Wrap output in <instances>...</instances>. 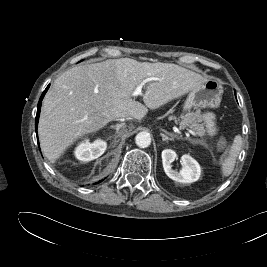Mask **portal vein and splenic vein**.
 I'll use <instances>...</instances> for the list:
<instances>
[{
	"instance_id": "1",
	"label": "portal vein and splenic vein",
	"mask_w": 267,
	"mask_h": 267,
	"mask_svg": "<svg viewBox=\"0 0 267 267\" xmlns=\"http://www.w3.org/2000/svg\"><path fill=\"white\" fill-rule=\"evenodd\" d=\"M153 80V78H147L145 80H143L136 88L135 90L132 92L131 96H137V95H142V87L149 81ZM188 132L192 135H196V133L190 129H187Z\"/></svg>"
}]
</instances>
